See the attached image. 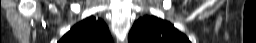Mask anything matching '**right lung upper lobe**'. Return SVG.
<instances>
[{"label": "right lung upper lobe", "instance_id": "1", "mask_svg": "<svg viewBox=\"0 0 256 43\" xmlns=\"http://www.w3.org/2000/svg\"><path fill=\"white\" fill-rule=\"evenodd\" d=\"M59 43H113V40L106 24L90 16L72 27Z\"/></svg>", "mask_w": 256, "mask_h": 43}]
</instances>
